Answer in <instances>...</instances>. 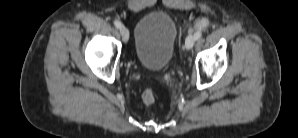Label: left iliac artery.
<instances>
[{
	"instance_id": "left-iliac-artery-1",
	"label": "left iliac artery",
	"mask_w": 298,
	"mask_h": 138,
	"mask_svg": "<svg viewBox=\"0 0 298 138\" xmlns=\"http://www.w3.org/2000/svg\"><path fill=\"white\" fill-rule=\"evenodd\" d=\"M195 38L196 39H199L201 36H202V32L201 31H197L195 34H194Z\"/></svg>"
}]
</instances>
